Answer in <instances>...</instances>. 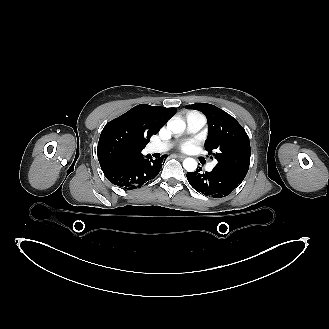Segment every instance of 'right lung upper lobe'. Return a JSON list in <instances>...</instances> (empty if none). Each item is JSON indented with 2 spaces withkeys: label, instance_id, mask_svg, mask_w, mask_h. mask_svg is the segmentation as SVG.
Instances as JSON below:
<instances>
[{
  "label": "right lung upper lobe",
  "instance_id": "right-lung-upper-lobe-1",
  "mask_svg": "<svg viewBox=\"0 0 329 329\" xmlns=\"http://www.w3.org/2000/svg\"><path fill=\"white\" fill-rule=\"evenodd\" d=\"M176 110L140 104L107 123L97 147L102 171L142 157V150L151 136L160 130Z\"/></svg>",
  "mask_w": 329,
  "mask_h": 329
}]
</instances>
